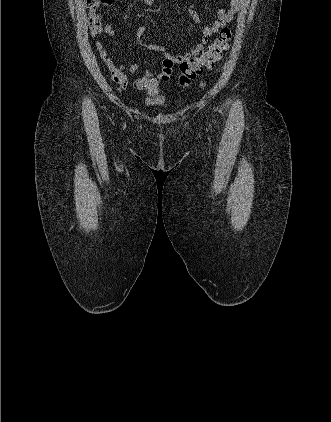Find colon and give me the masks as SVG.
Masks as SVG:
<instances>
[{
    "label": "colon",
    "instance_id": "1",
    "mask_svg": "<svg viewBox=\"0 0 331 422\" xmlns=\"http://www.w3.org/2000/svg\"><path fill=\"white\" fill-rule=\"evenodd\" d=\"M112 0H85L89 10L90 19L97 15L101 6L110 5ZM233 33L229 27H223L215 41L198 58L184 61L180 64L179 84L182 87L189 86L203 71L204 68L212 69L222 60L232 41ZM145 82V90L149 95L158 93V80L152 73L142 75Z\"/></svg>",
    "mask_w": 331,
    "mask_h": 422
}]
</instances>
